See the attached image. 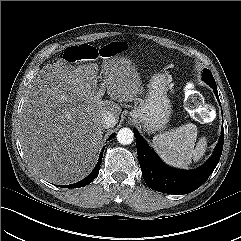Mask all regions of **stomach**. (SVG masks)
<instances>
[{"label":"stomach","mask_w":241,"mask_h":241,"mask_svg":"<svg viewBox=\"0 0 241 241\" xmlns=\"http://www.w3.org/2000/svg\"><path fill=\"white\" fill-rule=\"evenodd\" d=\"M170 79L164 74H157L152 77L148 84V90L144 99L139 105L129 112V119L141 123L143 129L148 133L165 129L172 106L167 92Z\"/></svg>","instance_id":"stomach-1"}]
</instances>
